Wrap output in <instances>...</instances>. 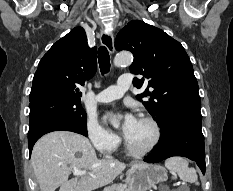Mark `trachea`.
Segmentation results:
<instances>
[{"instance_id": "1", "label": "trachea", "mask_w": 233, "mask_h": 191, "mask_svg": "<svg viewBox=\"0 0 233 191\" xmlns=\"http://www.w3.org/2000/svg\"><path fill=\"white\" fill-rule=\"evenodd\" d=\"M98 62L101 73H107L110 69V56L105 46H101L98 50Z\"/></svg>"}]
</instances>
